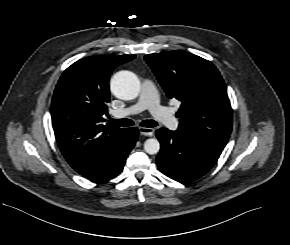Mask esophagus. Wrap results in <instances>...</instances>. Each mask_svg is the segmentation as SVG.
Wrapping results in <instances>:
<instances>
[{
    "instance_id": "34e87169",
    "label": "esophagus",
    "mask_w": 290,
    "mask_h": 245,
    "mask_svg": "<svg viewBox=\"0 0 290 245\" xmlns=\"http://www.w3.org/2000/svg\"><path fill=\"white\" fill-rule=\"evenodd\" d=\"M139 132L142 135L145 136H153L154 135V129L153 128H148V127H139Z\"/></svg>"
}]
</instances>
